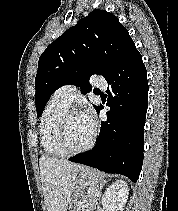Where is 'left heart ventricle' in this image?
Returning a JSON list of instances; mask_svg holds the SVG:
<instances>
[{
  "mask_svg": "<svg viewBox=\"0 0 178 211\" xmlns=\"http://www.w3.org/2000/svg\"><path fill=\"white\" fill-rule=\"evenodd\" d=\"M93 126L88 124L80 114L70 116L66 134V144L71 150L85 146L91 139Z\"/></svg>",
  "mask_w": 178,
  "mask_h": 211,
  "instance_id": "b2bd125f",
  "label": "left heart ventricle"
}]
</instances>
